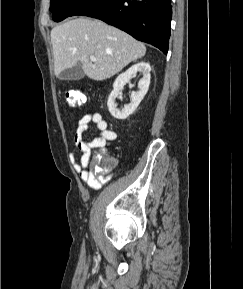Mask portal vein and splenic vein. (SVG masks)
<instances>
[{
  "label": "portal vein and splenic vein",
  "instance_id": "obj_1",
  "mask_svg": "<svg viewBox=\"0 0 243 289\" xmlns=\"http://www.w3.org/2000/svg\"><path fill=\"white\" fill-rule=\"evenodd\" d=\"M90 59H91L92 62H96L97 61L95 56H90Z\"/></svg>",
  "mask_w": 243,
  "mask_h": 289
}]
</instances>
